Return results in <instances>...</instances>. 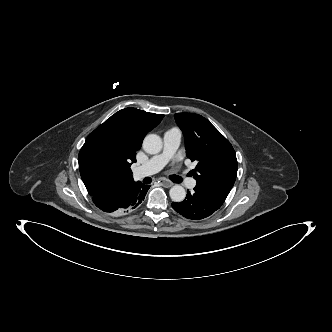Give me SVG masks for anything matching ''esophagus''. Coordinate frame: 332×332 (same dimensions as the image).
<instances>
[{"instance_id":"obj_1","label":"esophagus","mask_w":332,"mask_h":332,"mask_svg":"<svg viewBox=\"0 0 332 332\" xmlns=\"http://www.w3.org/2000/svg\"><path fill=\"white\" fill-rule=\"evenodd\" d=\"M161 185L165 186V187H171L173 185L172 182H170L169 180L165 179V178H161L159 179V181Z\"/></svg>"}]
</instances>
